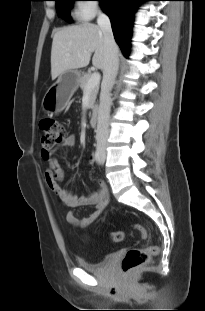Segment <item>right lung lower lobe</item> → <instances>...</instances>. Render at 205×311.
<instances>
[{
    "instance_id": "1",
    "label": "right lung lower lobe",
    "mask_w": 205,
    "mask_h": 311,
    "mask_svg": "<svg viewBox=\"0 0 205 311\" xmlns=\"http://www.w3.org/2000/svg\"><path fill=\"white\" fill-rule=\"evenodd\" d=\"M146 0H101L104 12L110 17L113 34L125 57L130 47L133 14L138 4Z\"/></svg>"
}]
</instances>
